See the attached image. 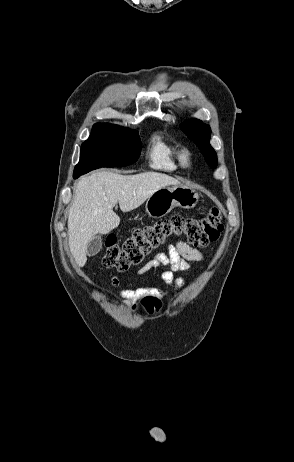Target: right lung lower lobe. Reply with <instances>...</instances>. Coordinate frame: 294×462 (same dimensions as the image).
<instances>
[{
  "label": "right lung lower lobe",
  "mask_w": 294,
  "mask_h": 462,
  "mask_svg": "<svg viewBox=\"0 0 294 462\" xmlns=\"http://www.w3.org/2000/svg\"><path fill=\"white\" fill-rule=\"evenodd\" d=\"M100 167H116L115 158L110 154H100L95 159L91 166V170L97 169ZM118 167V166H117ZM78 176H73L74 178H78Z\"/></svg>",
  "instance_id": "obj_1"
}]
</instances>
